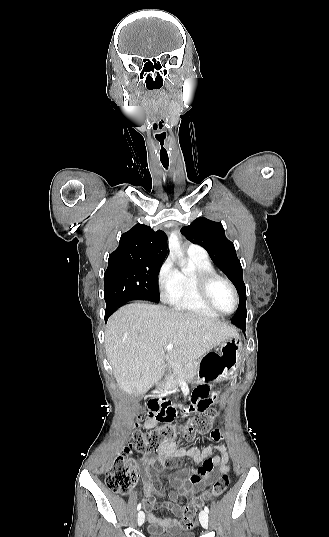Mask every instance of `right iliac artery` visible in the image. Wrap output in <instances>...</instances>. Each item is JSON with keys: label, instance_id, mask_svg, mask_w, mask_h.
<instances>
[{"label": "right iliac artery", "instance_id": "82829eb1", "mask_svg": "<svg viewBox=\"0 0 329 537\" xmlns=\"http://www.w3.org/2000/svg\"><path fill=\"white\" fill-rule=\"evenodd\" d=\"M141 509V503L137 505V510L139 511Z\"/></svg>", "mask_w": 329, "mask_h": 537}]
</instances>
